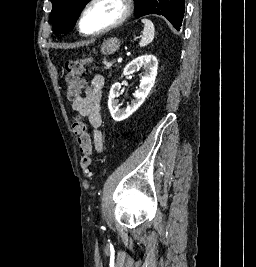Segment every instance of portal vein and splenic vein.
<instances>
[{
  "mask_svg": "<svg viewBox=\"0 0 256 267\" xmlns=\"http://www.w3.org/2000/svg\"><path fill=\"white\" fill-rule=\"evenodd\" d=\"M124 56H120V59L118 60V63L119 64H123L124 63Z\"/></svg>",
  "mask_w": 256,
  "mask_h": 267,
  "instance_id": "18ae733b",
  "label": "portal vein and splenic vein"
}]
</instances>
